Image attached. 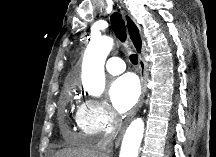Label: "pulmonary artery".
<instances>
[{
	"label": "pulmonary artery",
	"instance_id": "obj_1",
	"mask_svg": "<svg viewBox=\"0 0 216 157\" xmlns=\"http://www.w3.org/2000/svg\"><path fill=\"white\" fill-rule=\"evenodd\" d=\"M107 72L113 75L122 73L125 70V64L120 57H111L105 63Z\"/></svg>",
	"mask_w": 216,
	"mask_h": 157
}]
</instances>
